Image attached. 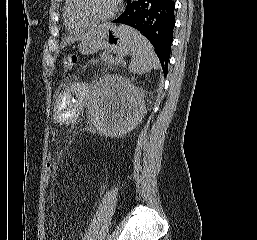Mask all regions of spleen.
<instances>
[{
    "label": "spleen",
    "mask_w": 257,
    "mask_h": 240,
    "mask_svg": "<svg viewBox=\"0 0 257 240\" xmlns=\"http://www.w3.org/2000/svg\"><path fill=\"white\" fill-rule=\"evenodd\" d=\"M121 28L127 32L129 49L132 52L130 72L143 74L159 69L160 63L151 43L137 30L123 25Z\"/></svg>",
    "instance_id": "1"
}]
</instances>
